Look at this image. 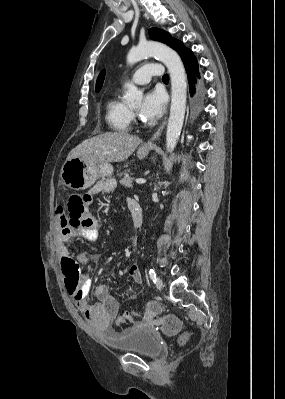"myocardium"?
I'll return each instance as SVG.
<instances>
[{
	"label": "myocardium",
	"instance_id": "1",
	"mask_svg": "<svg viewBox=\"0 0 285 399\" xmlns=\"http://www.w3.org/2000/svg\"><path fill=\"white\" fill-rule=\"evenodd\" d=\"M132 113L134 114V116H136V112L134 110H132Z\"/></svg>",
	"mask_w": 285,
	"mask_h": 399
}]
</instances>
